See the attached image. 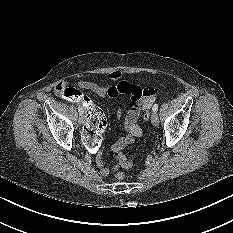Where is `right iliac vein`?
I'll return each instance as SVG.
<instances>
[{
    "instance_id": "63e3f726",
    "label": "right iliac vein",
    "mask_w": 233,
    "mask_h": 233,
    "mask_svg": "<svg viewBox=\"0 0 233 233\" xmlns=\"http://www.w3.org/2000/svg\"><path fill=\"white\" fill-rule=\"evenodd\" d=\"M85 121H86L85 115L80 114L79 119H78L79 124L83 125L85 123Z\"/></svg>"
}]
</instances>
